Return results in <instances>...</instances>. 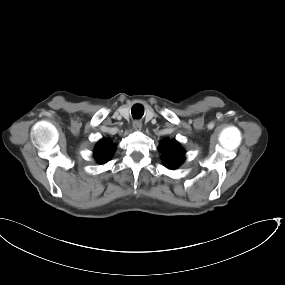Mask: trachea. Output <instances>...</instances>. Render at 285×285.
<instances>
[{"mask_svg": "<svg viewBox=\"0 0 285 285\" xmlns=\"http://www.w3.org/2000/svg\"><path fill=\"white\" fill-rule=\"evenodd\" d=\"M131 114L133 118L139 119L144 114V108L140 104H136L132 107Z\"/></svg>", "mask_w": 285, "mask_h": 285, "instance_id": "obj_1", "label": "trachea"}]
</instances>
